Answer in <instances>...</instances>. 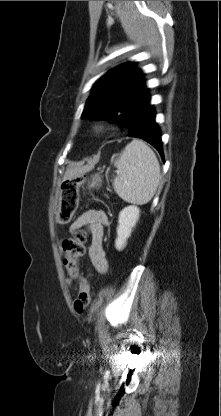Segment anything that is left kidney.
<instances>
[{
	"label": "left kidney",
	"mask_w": 221,
	"mask_h": 416,
	"mask_svg": "<svg viewBox=\"0 0 221 416\" xmlns=\"http://www.w3.org/2000/svg\"><path fill=\"white\" fill-rule=\"evenodd\" d=\"M140 216V209L135 205H130L122 209L118 217L117 238L115 247L121 251L127 244V239L131 236L132 229L135 227Z\"/></svg>",
	"instance_id": "left-kidney-1"
}]
</instances>
